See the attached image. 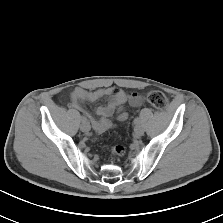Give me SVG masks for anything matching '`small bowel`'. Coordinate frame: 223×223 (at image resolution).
Segmentation results:
<instances>
[{"instance_id":"small-bowel-1","label":"small bowel","mask_w":223,"mask_h":223,"mask_svg":"<svg viewBox=\"0 0 223 223\" xmlns=\"http://www.w3.org/2000/svg\"><path fill=\"white\" fill-rule=\"evenodd\" d=\"M102 98H107L108 103L97 108V115L99 119H95L85 108L83 103L85 101L94 102ZM129 101L133 106L139 107L143 104L140 95L134 93L127 95L121 89L116 87H109L98 89L95 91H87L84 88H76L70 94V106L81 111L84 115V120L90 123L97 133H103L113 126V115L115 111L121 109L122 105ZM127 113L123 110L118 115V120H125Z\"/></svg>"}]
</instances>
